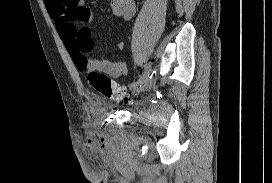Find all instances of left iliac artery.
Returning <instances> with one entry per match:
<instances>
[{"label": "left iliac artery", "mask_w": 272, "mask_h": 183, "mask_svg": "<svg viewBox=\"0 0 272 183\" xmlns=\"http://www.w3.org/2000/svg\"><path fill=\"white\" fill-rule=\"evenodd\" d=\"M153 74H154V71H152L150 65L146 64L144 66V73H143V75L138 79V81L133 82L132 84H130V87H137V86L141 87L146 80L152 78Z\"/></svg>", "instance_id": "left-iliac-artery-1"}]
</instances>
